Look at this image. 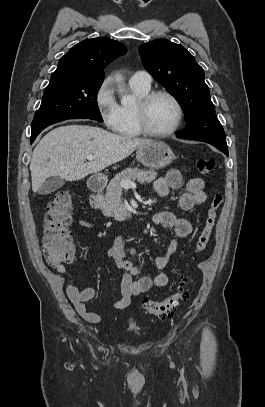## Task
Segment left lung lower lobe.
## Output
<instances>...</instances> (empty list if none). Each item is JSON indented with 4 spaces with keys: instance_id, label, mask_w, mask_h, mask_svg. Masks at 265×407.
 I'll return each mask as SVG.
<instances>
[{
    "instance_id": "0a47b994",
    "label": "left lung lower lobe",
    "mask_w": 265,
    "mask_h": 407,
    "mask_svg": "<svg viewBox=\"0 0 265 407\" xmlns=\"http://www.w3.org/2000/svg\"><path fill=\"white\" fill-rule=\"evenodd\" d=\"M217 149H219L220 151H222L224 154H226L228 156V152H226V150L220 148V147H216Z\"/></svg>"
}]
</instances>
